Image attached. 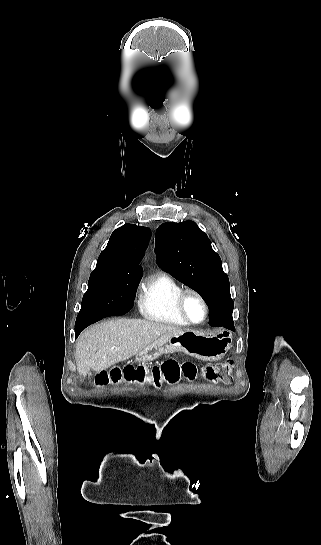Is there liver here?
<instances>
[{
	"label": "liver",
	"mask_w": 321,
	"mask_h": 545,
	"mask_svg": "<svg viewBox=\"0 0 321 545\" xmlns=\"http://www.w3.org/2000/svg\"><path fill=\"white\" fill-rule=\"evenodd\" d=\"M179 331L186 329L144 319H114L93 325L76 341L77 371L82 377L91 375L90 369L100 373L120 361L131 359L162 335Z\"/></svg>",
	"instance_id": "obj_1"
}]
</instances>
